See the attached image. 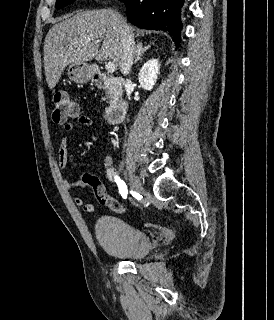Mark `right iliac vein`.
Segmentation results:
<instances>
[{
	"instance_id": "1",
	"label": "right iliac vein",
	"mask_w": 274,
	"mask_h": 320,
	"mask_svg": "<svg viewBox=\"0 0 274 320\" xmlns=\"http://www.w3.org/2000/svg\"><path fill=\"white\" fill-rule=\"evenodd\" d=\"M130 183L132 188L135 190V192L139 193V194H145V189L140 181V179L138 178V176L132 174L130 175Z\"/></svg>"
}]
</instances>
